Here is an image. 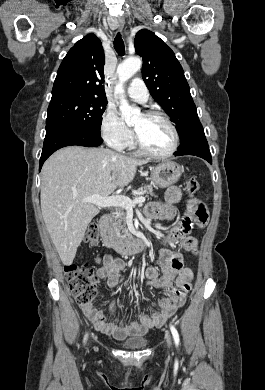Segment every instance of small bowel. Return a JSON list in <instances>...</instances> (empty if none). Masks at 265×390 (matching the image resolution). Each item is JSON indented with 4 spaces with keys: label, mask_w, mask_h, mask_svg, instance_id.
<instances>
[{
    "label": "small bowel",
    "mask_w": 265,
    "mask_h": 390,
    "mask_svg": "<svg viewBox=\"0 0 265 390\" xmlns=\"http://www.w3.org/2000/svg\"><path fill=\"white\" fill-rule=\"evenodd\" d=\"M182 193L176 186L170 187L165 194V203H150L145 209L146 216L152 219L172 220L176 216V204L180 202ZM208 220V210L201 201L190 199L185 205V215L182 221L174 225L169 234L163 237L167 245L179 243L180 249L170 250L163 248L158 253V261L164 273L159 275L156 267L148 266L145 270L146 283L163 290L166 296L158 301V309L153 313H143L138 321L117 317V303L115 297L110 303L111 320H107L103 312L92 304L81 306L85 316L94 324L95 328L115 338L128 335H145L150 329L161 327L179 307H181L191 290L194 277L190 267L184 266V257L181 250L195 253L198 247L196 238L189 235L191 224L203 227ZM99 262L102 267L98 269L99 280H105L107 287L114 289L119 283L120 274L126 269V263L121 258L104 255Z\"/></svg>",
    "instance_id": "c3829d8e"
}]
</instances>
